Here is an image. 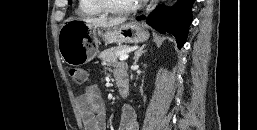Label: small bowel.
Wrapping results in <instances>:
<instances>
[{"label":"small bowel","mask_w":257,"mask_h":130,"mask_svg":"<svg viewBox=\"0 0 257 130\" xmlns=\"http://www.w3.org/2000/svg\"><path fill=\"white\" fill-rule=\"evenodd\" d=\"M107 69L114 75L116 82L127 79L126 68L123 65L107 64ZM84 130H106V110L100 91L94 84L87 85L84 93L77 98ZM118 130H139L136 113L128 105L121 111Z\"/></svg>","instance_id":"1"}]
</instances>
